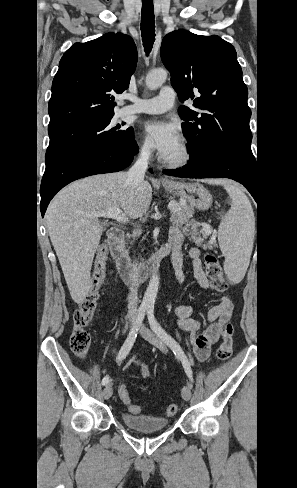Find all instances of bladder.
Instances as JSON below:
<instances>
[{
    "label": "bladder",
    "mask_w": 297,
    "mask_h": 488,
    "mask_svg": "<svg viewBox=\"0 0 297 488\" xmlns=\"http://www.w3.org/2000/svg\"><path fill=\"white\" fill-rule=\"evenodd\" d=\"M121 420L128 428L139 432H157L165 429L169 421L163 417L122 413Z\"/></svg>",
    "instance_id": "bladder-1"
}]
</instances>
